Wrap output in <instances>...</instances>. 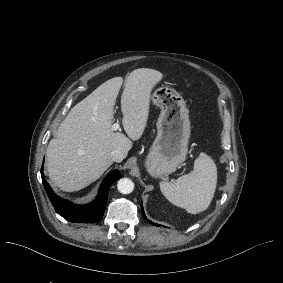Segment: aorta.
I'll use <instances>...</instances> for the list:
<instances>
[{
	"instance_id": "1",
	"label": "aorta",
	"mask_w": 283,
	"mask_h": 283,
	"mask_svg": "<svg viewBox=\"0 0 283 283\" xmlns=\"http://www.w3.org/2000/svg\"><path fill=\"white\" fill-rule=\"evenodd\" d=\"M117 188L122 194H129L134 189V183L129 178H121L117 183Z\"/></svg>"
}]
</instances>
